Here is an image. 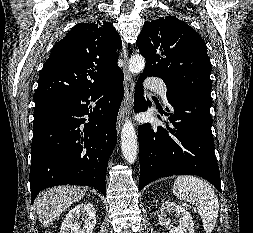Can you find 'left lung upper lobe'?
Instances as JSON below:
<instances>
[{
  "label": "left lung upper lobe",
  "instance_id": "1",
  "mask_svg": "<svg viewBox=\"0 0 253 233\" xmlns=\"http://www.w3.org/2000/svg\"><path fill=\"white\" fill-rule=\"evenodd\" d=\"M143 27L136 42L146 59L142 74L164 81L168 101L189 95L211 98L212 67L201 36L174 16L151 20Z\"/></svg>",
  "mask_w": 253,
  "mask_h": 233
}]
</instances>
